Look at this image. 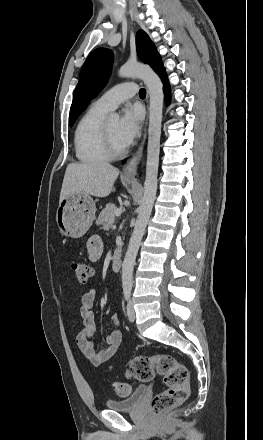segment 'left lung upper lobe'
<instances>
[{"mask_svg": "<svg viewBox=\"0 0 263 440\" xmlns=\"http://www.w3.org/2000/svg\"><path fill=\"white\" fill-rule=\"evenodd\" d=\"M136 47L139 58L154 70L162 65L161 57L154 43L142 30L137 32ZM112 60V51L105 48H98L89 54L82 66L79 82L74 92L70 108V126L74 124L90 100L106 85Z\"/></svg>", "mask_w": 263, "mask_h": 440, "instance_id": "5c2ea615", "label": "left lung upper lobe"}]
</instances>
